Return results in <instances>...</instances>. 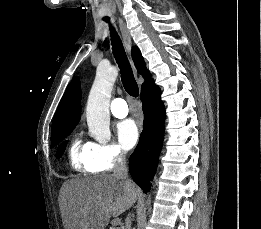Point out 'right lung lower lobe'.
I'll use <instances>...</instances> for the list:
<instances>
[{
  "label": "right lung lower lobe",
  "mask_w": 261,
  "mask_h": 229,
  "mask_svg": "<svg viewBox=\"0 0 261 229\" xmlns=\"http://www.w3.org/2000/svg\"><path fill=\"white\" fill-rule=\"evenodd\" d=\"M144 126L139 143L130 156L129 171L135 183L147 193L154 177L164 138L165 110L160 99V90L151 83L141 90Z\"/></svg>",
  "instance_id": "1"
}]
</instances>
